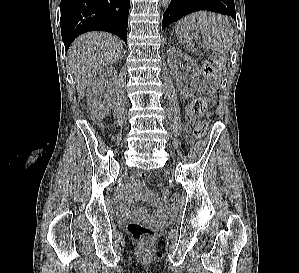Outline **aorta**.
<instances>
[{
    "mask_svg": "<svg viewBox=\"0 0 299 273\" xmlns=\"http://www.w3.org/2000/svg\"><path fill=\"white\" fill-rule=\"evenodd\" d=\"M170 3H171V0H162V5L164 8H167Z\"/></svg>",
    "mask_w": 299,
    "mask_h": 273,
    "instance_id": "obj_1",
    "label": "aorta"
}]
</instances>
